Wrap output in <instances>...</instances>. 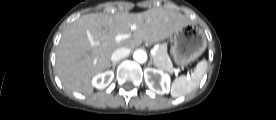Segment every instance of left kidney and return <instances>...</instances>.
Wrapping results in <instances>:
<instances>
[{
	"instance_id": "obj_1",
	"label": "left kidney",
	"mask_w": 276,
	"mask_h": 120,
	"mask_svg": "<svg viewBox=\"0 0 276 120\" xmlns=\"http://www.w3.org/2000/svg\"><path fill=\"white\" fill-rule=\"evenodd\" d=\"M144 79L147 86L157 94H165L170 86V76L160 69L146 68L144 70Z\"/></svg>"
}]
</instances>
